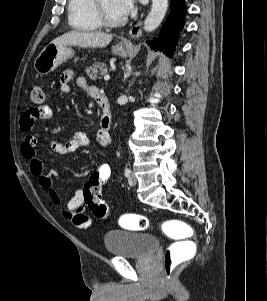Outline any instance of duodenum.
I'll use <instances>...</instances> for the list:
<instances>
[{
	"mask_svg": "<svg viewBox=\"0 0 267 301\" xmlns=\"http://www.w3.org/2000/svg\"><path fill=\"white\" fill-rule=\"evenodd\" d=\"M94 100L98 103L101 109L100 125L103 130L110 133L112 124V116L110 111V104L107 96L100 91L94 94Z\"/></svg>",
	"mask_w": 267,
	"mask_h": 301,
	"instance_id": "duodenum-1",
	"label": "duodenum"
}]
</instances>
